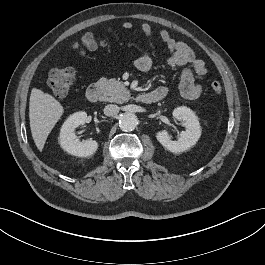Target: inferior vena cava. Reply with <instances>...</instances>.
<instances>
[{
    "label": "inferior vena cava",
    "instance_id": "1",
    "mask_svg": "<svg viewBox=\"0 0 265 265\" xmlns=\"http://www.w3.org/2000/svg\"><path fill=\"white\" fill-rule=\"evenodd\" d=\"M119 106L114 105V104H109L107 106H105L104 108V114L106 116H115L119 113Z\"/></svg>",
    "mask_w": 265,
    "mask_h": 265
}]
</instances>
